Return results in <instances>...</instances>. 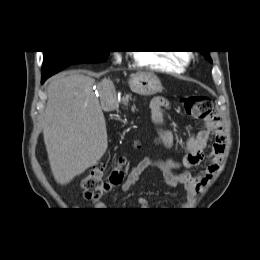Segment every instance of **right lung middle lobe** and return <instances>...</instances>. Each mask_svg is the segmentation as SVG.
<instances>
[{
    "label": "right lung middle lobe",
    "instance_id": "dd1d6c3e",
    "mask_svg": "<svg viewBox=\"0 0 260 260\" xmlns=\"http://www.w3.org/2000/svg\"><path fill=\"white\" fill-rule=\"evenodd\" d=\"M109 51H44L42 76L51 75L78 63H99L107 59Z\"/></svg>",
    "mask_w": 260,
    "mask_h": 260
}]
</instances>
